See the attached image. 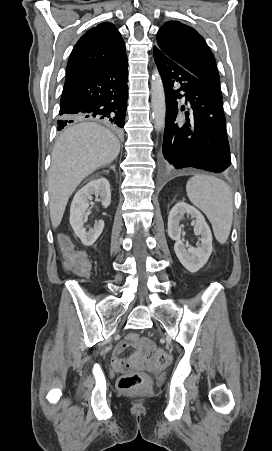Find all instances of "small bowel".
I'll list each match as a JSON object with an SVG mask.
<instances>
[{
	"instance_id": "c3829d8e",
	"label": "small bowel",
	"mask_w": 272,
	"mask_h": 451,
	"mask_svg": "<svg viewBox=\"0 0 272 451\" xmlns=\"http://www.w3.org/2000/svg\"><path fill=\"white\" fill-rule=\"evenodd\" d=\"M149 341V339L147 338H142L140 337L137 333L134 332H130L125 336V339L123 341L118 342L124 344L125 348H142V346ZM115 345L113 352H112V356H115L119 351H117L116 346Z\"/></svg>"
}]
</instances>
